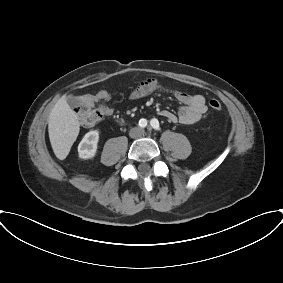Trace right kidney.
<instances>
[{
  "label": "right kidney",
  "instance_id": "1",
  "mask_svg": "<svg viewBox=\"0 0 283 283\" xmlns=\"http://www.w3.org/2000/svg\"><path fill=\"white\" fill-rule=\"evenodd\" d=\"M99 141V131L93 130L85 134L78 145L79 157L82 159H91L96 155Z\"/></svg>",
  "mask_w": 283,
  "mask_h": 283
}]
</instances>
